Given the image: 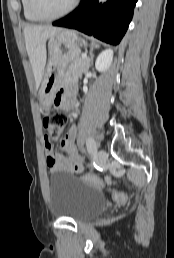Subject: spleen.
I'll return each mask as SVG.
<instances>
[{
  "label": "spleen",
  "instance_id": "spleen-1",
  "mask_svg": "<svg viewBox=\"0 0 174 258\" xmlns=\"http://www.w3.org/2000/svg\"><path fill=\"white\" fill-rule=\"evenodd\" d=\"M83 43H84V45H86V46H87V42H86L85 40H83Z\"/></svg>",
  "mask_w": 174,
  "mask_h": 258
}]
</instances>
